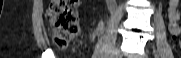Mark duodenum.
Returning a JSON list of instances; mask_svg holds the SVG:
<instances>
[{"instance_id":"obj_1","label":"duodenum","mask_w":181,"mask_h":58,"mask_svg":"<svg viewBox=\"0 0 181 58\" xmlns=\"http://www.w3.org/2000/svg\"><path fill=\"white\" fill-rule=\"evenodd\" d=\"M108 3H109L110 5H113V4H114V1H113V0H108Z\"/></svg>"}]
</instances>
